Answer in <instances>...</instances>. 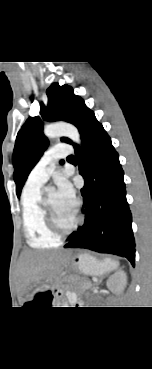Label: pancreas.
Wrapping results in <instances>:
<instances>
[{
  "mask_svg": "<svg viewBox=\"0 0 152 369\" xmlns=\"http://www.w3.org/2000/svg\"><path fill=\"white\" fill-rule=\"evenodd\" d=\"M92 287V283L85 279L79 280V289L81 292H84L85 290H89Z\"/></svg>",
  "mask_w": 152,
  "mask_h": 369,
  "instance_id": "pancreas-1",
  "label": "pancreas"
}]
</instances>
